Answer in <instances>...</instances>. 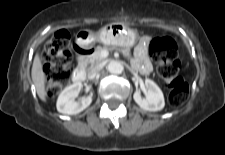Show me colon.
<instances>
[{
    "label": "colon",
    "mask_w": 225,
    "mask_h": 155,
    "mask_svg": "<svg viewBox=\"0 0 225 155\" xmlns=\"http://www.w3.org/2000/svg\"><path fill=\"white\" fill-rule=\"evenodd\" d=\"M69 45L70 34L66 30L57 31L46 44L43 58L48 98L55 97L70 79L72 53ZM149 54L157 63L158 75L169 89V105L181 106L188 97L189 85L180 73L176 42L169 37L155 38L149 44Z\"/></svg>",
    "instance_id": "1"
}]
</instances>
